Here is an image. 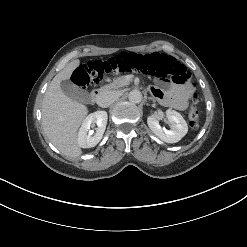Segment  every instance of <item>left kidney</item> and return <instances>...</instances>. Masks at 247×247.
<instances>
[{
    "label": "left kidney",
    "mask_w": 247,
    "mask_h": 247,
    "mask_svg": "<svg viewBox=\"0 0 247 247\" xmlns=\"http://www.w3.org/2000/svg\"><path fill=\"white\" fill-rule=\"evenodd\" d=\"M166 116L170 122V130L164 129L159 125V121L154 116H148L147 124L152 132L161 140L167 143L180 141L188 132V126L184 118L175 110L168 109Z\"/></svg>",
    "instance_id": "obj_1"
}]
</instances>
